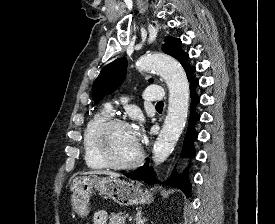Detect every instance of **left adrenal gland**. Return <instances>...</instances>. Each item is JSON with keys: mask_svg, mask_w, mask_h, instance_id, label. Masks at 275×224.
<instances>
[{"mask_svg": "<svg viewBox=\"0 0 275 224\" xmlns=\"http://www.w3.org/2000/svg\"><path fill=\"white\" fill-rule=\"evenodd\" d=\"M136 221H137L136 224H144L147 221V219L145 218L142 219V213L139 212L137 215Z\"/></svg>", "mask_w": 275, "mask_h": 224, "instance_id": "1", "label": "left adrenal gland"}]
</instances>
